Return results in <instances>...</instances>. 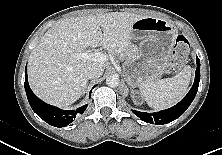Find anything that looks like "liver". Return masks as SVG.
<instances>
[{
	"label": "liver",
	"instance_id": "obj_1",
	"mask_svg": "<svg viewBox=\"0 0 222 155\" xmlns=\"http://www.w3.org/2000/svg\"><path fill=\"white\" fill-rule=\"evenodd\" d=\"M141 16L110 12L71 17L58 21L41 38L29 57L28 77L33 92L42 100L67 107L84 93L85 70L105 62L79 59L87 47L102 46L110 55L125 54L132 48V25Z\"/></svg>",
	"mask_w": 222,
	"mask_h": 155
}]
</instances>
